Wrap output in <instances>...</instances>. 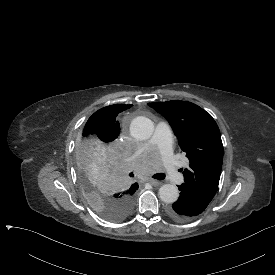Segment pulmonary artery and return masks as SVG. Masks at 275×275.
<instances>
[{"instance_id":"1","label":"pulmonary artery","mask_w":275,"mask_h":275,"mask_svg":"<svg viewBox=\"0 0 275 275\" xmlns=\"http://www.w3.org/2000/svg\"><path fill=\"white\" fill-rule=\"evenodd\" d=\"M155 125L159 131L151 137L150 143H147L137 152L133 153L131 158H129V161H132V159H134V157L140 154L142 151L149 150L151 145L157 146L161 141L158 146V150L164 159V163L166 165V174L170 180L175 181L179 178L180 172L177 157L174 153V131L169 128V122L163 117L158 118L155 122Z\"/></svg>"}]
</instances>
